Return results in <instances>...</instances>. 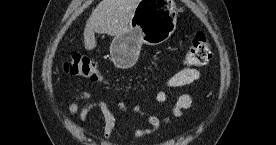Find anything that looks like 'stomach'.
I'll use <instances>...</instances> for the list:
<instances>
[{
	"instance_id": "obj_1",
	"label": "stomach",
	"mask_w": 276,
	"mask_h": 145,
	"mask_svg": "<svg viewBox=\"0 0 276 145\" xmlns=\"http://www.w3.org/2000/svg\"><path fill=\"white\" fill-rule=\"evenodd\" d=\"M179 12L169 0H139L128 27L111 42L110 55L115 66L132 67L143 43L155 46L167 41L176 29Z\"/></svg>"
}]
</instances>
